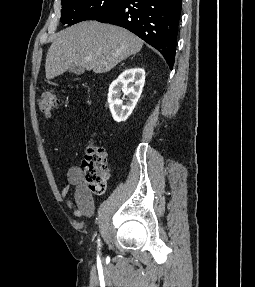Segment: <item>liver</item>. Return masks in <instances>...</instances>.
Masks as SVG:
<instances>
[{
  "mask_svg": "<svg viewBox=\"0 0 255 287\" xmlns=\"http://www.w3.org/2000/svg\"><path fill=\"white\" fill-rule=\"evenodd\" d=\"M142 46L143 40L124 28L80 22L55 34L46 56V80L61 76L73 64L95 74L110 72L125 58L138 54Z\"/></svg>",
  "mask_w": 255,
  "mask_h": 287,
  "instance_id": "6515ba94",
  "label": "liver"
}]
</instances>
